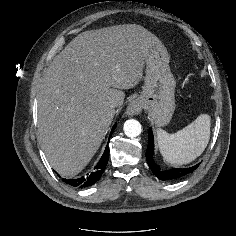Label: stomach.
Wrapping results in <instances>:
<instances>
[{
  "label": "stomach",
  "instance_id": "obj_1",
  "mask_svg": "<svg viewBox=\"0 0 236 236\" xmlns=\"http://www.w3.org/2000/svg\"><path fill=\"white\" fill-rule=\"evenodd\" d=\"M145 77L137 102L148 111L156 126L167 125L175 110V79L169 67V54L164 46H155L145 59Z\"/></svg>",
  "mask_w": 236,
  "mask_h": 236
}]
</instances>
